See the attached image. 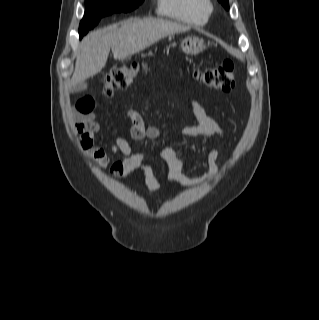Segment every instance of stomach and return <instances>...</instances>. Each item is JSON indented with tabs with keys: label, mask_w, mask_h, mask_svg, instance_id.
Instances as JSON below:
<instances>
[{
	"label": "stomach",
	"mask_w": 319,
	"mask_h": 320,
	"mask_svg": "<svg viewBox=\"0 0 319 320\" xmlns=\"http://www.w3.org/2000/svg\"><path fill=\"white\" fill-rule=\"evenodd\" d=\"M181 48L187 55H197L205 49V44L199 37L188 36L182 40Z\"/></svg>",
	"instance_id": "0dacf381"
}]
</instances>
